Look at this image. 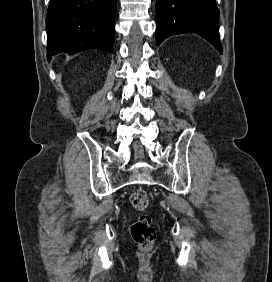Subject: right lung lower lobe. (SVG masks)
Listing matches in <instances>:
<instances>
[{
  "label": "right lung lower lobe",
  "mask_w": 272,
  "mask_h": 282,
  "mask_svg": "<svg viewBox=\"0 0 272 282\" xmlns=\"http://www.w3.org/2000/svg\"><path fill=\"white\" fill-rule=\"evenodd\" d=\"M116 0H51L47 17V59L86 49L113 52Z\"/></svg>",
  "instance_id": "1"
}]
</instances>
